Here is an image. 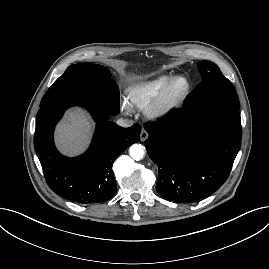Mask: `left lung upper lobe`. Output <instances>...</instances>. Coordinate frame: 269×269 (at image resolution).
<instances>
[{
  "mask_svg": "<svg viewBox=\"0 0 269 269\" xmlns=\"http://www.w3.org/2000/svg\"><path fill=\"white\" fill-rule=\"evenodd\" d=\"M202 82L184 102L185 112H197L214 107L240 108L232 83L224 77L217 65L209 61L197 63Z\"/></svg>",
  "mask_w": 269,
  "mask_h": 269,
  "instance_id": "1",
  "label": "left lung upper lobe"
}]
</instances>
